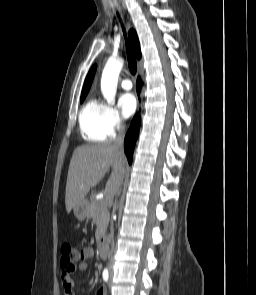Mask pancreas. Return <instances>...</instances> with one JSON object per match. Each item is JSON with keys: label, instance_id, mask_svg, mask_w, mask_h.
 <instances>
[{"label": "pancreas", "instance_id": "cf45deb5", "mask_svg": "<svg viewBox=\"0 0 256 295\" xmlns=\"http://www.w3.org/2000/svg\"><path fill=\"white\" fill-rule=\"evenodd\" d=\"M88 216L93 219L97 225L95 237L97 242L100 241L103 233L107 229L109 221L108 202L107 200L92 201L88 207Z\"/></svg>", "mask_w": 256, "mask_h": 295}]
</instances>
